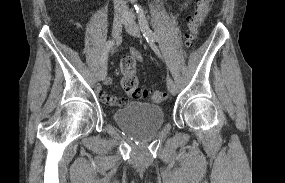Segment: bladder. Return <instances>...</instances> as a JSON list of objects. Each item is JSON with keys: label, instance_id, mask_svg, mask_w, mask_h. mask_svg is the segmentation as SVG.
<instances>
[{"label": "bladder", "instance_id": "obj_1", "mask_svg": "<svg viewBox=\"0 0 285 183\" xmlns=\"http://www.w3.org/2000/svg\"><path fill=\"white\" fill-rule=\"evenodd\" d=\"M115 122L134 133H151L164 124V110L161 106L149 103H130L116 109Z\"/></svg>", "mask_w": 285, "mask_h": 183}]
</instances>
